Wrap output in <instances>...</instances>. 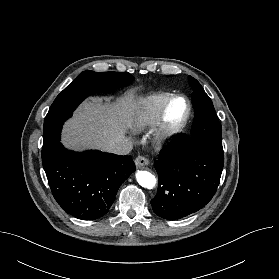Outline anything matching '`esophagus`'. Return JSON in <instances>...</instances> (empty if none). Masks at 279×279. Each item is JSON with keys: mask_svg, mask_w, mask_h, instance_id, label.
<instances>
[{"mask_svg": "<svg viewBox=\"0 0 279 279\" xmlns=\"http://www.w3.org/2000/svg\"><path fill=\"white\" fill-rule=\"evenodd\" d=\"M149 160L143 156H137L135 159V164L137 168L149 165Z\"/></svg>", "mask_w": 279, "mask_h": 279, "instance_id": "1", "label": "esophagus"}]
</instances>
